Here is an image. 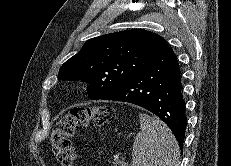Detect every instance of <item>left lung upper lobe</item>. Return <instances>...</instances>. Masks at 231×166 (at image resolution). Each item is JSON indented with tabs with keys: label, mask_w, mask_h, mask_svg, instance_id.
Masks as SVG:
<instances>
[{
	"label": "left lung upper lobe",
	"mask_w": 231,
	"mask_h": 166,
	"mask_svg": "<svg viewBox=\"0 0 231 166\" xmlns=\"http://www.w3.org/2000/svg\"><path fill=\"white\" fill-rule=\"evenodd\" d=\"M168 43L143 29L125 30L86 41L60 68L59 80H84L90 99L98 100L155 60Z\"/></svg>",
	"instance_id": "5c2ea615"
}]
</instances>
